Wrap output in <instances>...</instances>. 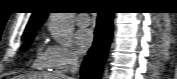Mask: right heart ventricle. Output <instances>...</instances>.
<instances>
[{
  "label": "right heart ventricle",
  "mask_w": 177,
  "mask_h": 79,
  "mask_svg": "<svg viewBox=\"0 0 177 79\" xmlns=\"http://www.w3.org/2000/svg\"><path fill=\"white\" fill-rule=\"evenodd\" d=\"M47 59L46 53L42 52L40 49L37 51L36 58L33 62V67L35 69L42 70L43 68L47 67Z\"/></svg>",
  "instance_id": "obj_1"
}]
</instances>
